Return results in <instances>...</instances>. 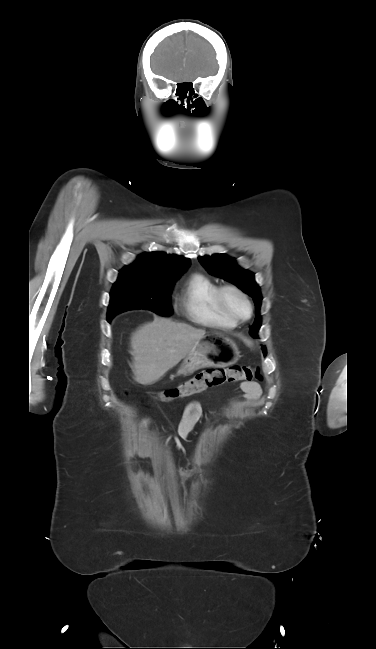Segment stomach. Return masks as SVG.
I'll return each instance as SVG.
<instances>
[{
  "instance_id": "obj_1",
  "label": "stomach",
  "mask_w": 376,
  "mask_h": 649,
  "mask_svg": "<svg viewBox=\"0 0 376 649\" xmlns=\"http://www.w3.org/2000/svg\"><path fill=\"white\" fill-rule=\"evenodd\" d=\"M239 358L240 352L231 338L222 333H208L193 344L178 374L186 376L205 367H227Z\"/></svg>"
}]
</instances>
